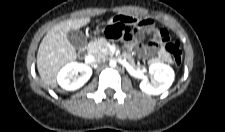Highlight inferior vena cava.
I'll list each match as a JSON object with an SVG mask.
<instances>
[{
  "instance_id": "602c4592",
  "label": "inferior vena cava",
  "mask_w": 225,
  "mask_h": 132,
  "mask_svg": "<svg viewBox=\"0 0 225 132\" xmlns=\"http://www.w3.org/2000/svg\"><path fill=\"white\" fill-rule=\"evenodd\" d=\"M103 62H105V57H103L101 55H94L92 58L93 64H101Z\"/></svg>"
}]
</instances>
